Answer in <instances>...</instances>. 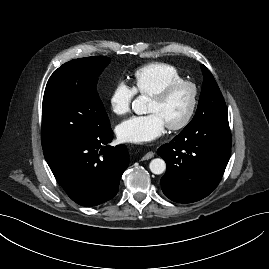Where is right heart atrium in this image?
<instances>
[{"label": "right heart atrium", "instance_id": "1", "mask_svg": "<svg viewBox=\"0 0 269 269\" xmlns=\"http://www.w3.org/2000/svg\"><path fill=\"white\" fill-rule=\"evenodd\" d=\"M135 90L124 81H118L109 95V106L116 115L126 114L135 97Z\"/></svg>", "mask_w": 269, "mask_h": 269}]
</instances>
